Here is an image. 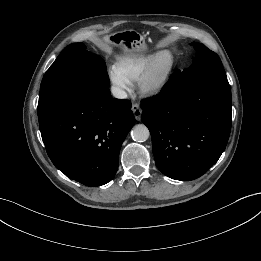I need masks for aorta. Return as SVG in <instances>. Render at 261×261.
Wrapping results in <instances>:
<instances>
[{
	"instance_id": "1",
	"label": "aorta",
	"mask_w": 261,
	"mask_h": 261,
	"mask_svg": "<svg viewBox=\"0 0 261 261\" xmlns=\"http://www.w3.org/2000/svg\"><path fill=\"white\" fill-rule=\"evenodd\" d=\"M131 136L136 142H145L149 138L150 132L144 124H137L133 127Z\"/></svg>"
}]
</instances>
